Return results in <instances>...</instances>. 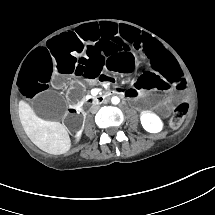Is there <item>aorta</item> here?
Listing matches in <instances>:
<instances>
[{
  "label": "aorta",
  "instance_id": "1",
  "mask_svg": "<svg viewBox=\"0 0 215 215\" xmlns=\"http://www.w3.org/2000/svg\"><path fill=\"white\" fill-rule=\"evenodd\" d=\"M112 104L117 105L120 102V98L117 96H113L111 99Z\"/></svg>",
  "mask_w": 215,
  "mask_h": 215
}]
</instances>
